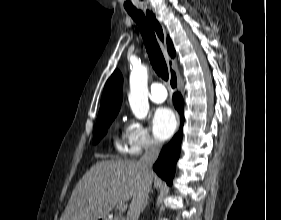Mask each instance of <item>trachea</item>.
Returning <instances> with one entry per match:
<instances>
[{"label": "trachea", "mask_w": 281, "mask_h": 220, "mask_svg": "<svg viewBox=\"0 0 281 220\" xmlns=\"http://www.w3.org/2000/svg\"><path fill=\"white\" fill-rule=\"evenodd\" d=\"M128 14L138 25L143 42L146 47L151 65L158 76L164 80H168V68L164 59V56L161 52V49L158 45L155 33L144 16L143 12L139 10H128Z\"/></svg>", "instance_id": "1"}]
</instances>
